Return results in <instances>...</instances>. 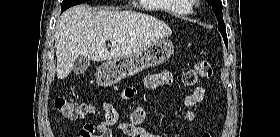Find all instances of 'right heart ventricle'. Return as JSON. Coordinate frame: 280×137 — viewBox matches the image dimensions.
Segmentation results:
<instances>
[{
	"instance_id": "1",
	"label": "right heart ventricle",
	"mask_w": 280,
	"mask_h": 137,
	"mask_svg": "<svg viewBox=\"0 0 280 137\" xmlns=\"http://www.w3.org/2000/svg\"><path fill=\"white\" fill-rule=\"evenodd\" d=\"M163 3V8L171 15L180 17L188 14L191 9L183 0H147Z\"/></svg>"
}]
</instances>
